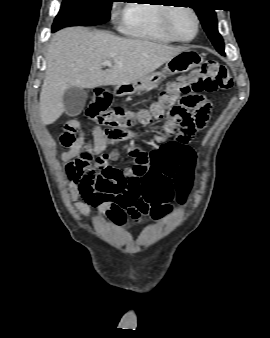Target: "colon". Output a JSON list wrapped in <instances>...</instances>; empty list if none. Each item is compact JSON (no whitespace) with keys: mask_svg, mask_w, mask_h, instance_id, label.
I'll use <instances>...</instances> for the list:
<instances>
[{"mask_svg":"<svg viewBox=\"0 0 270 338\" xmlns=\"http://www.w3.org/2000/svg\"><path fill=\"white\" fill-rule=\"evenodd\" d=\"M233 81L227 67L216 61H206L199 69H194L187 75L178 76L160 93L159 99L146 110L137 113H125L120 107H110L111 97L104 91H98L90 98L86 109V117L105 128L108 136L126 134V128L133 124H147L162 118L166 113L171 121L181 122V132L176 139L162 147L160 156L176 153L179 148L189 141V135L194 129H201L208 118V106L204 105L201 93H215L229 90ZM172 132L170 125L153 134V142H160ZM82 163L67 164L69 182H77L82 173ZM152 181L150 169L143 165V159L132 156V166L124 172L112 169L102 184V189L116 204L113 221L122 224L129 217L134 221L150 212L149 205L143 195L149 192ZM185 191L180 189L179 200ZM162 209H154L156 215Z\"/></svg>","mask_w":270,"mask_h":338,"instance_id":"obj_1","label":"colon"}]
</instances>
